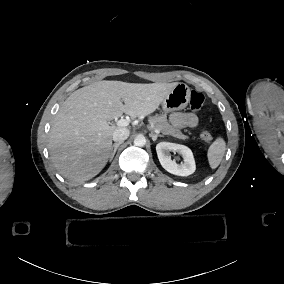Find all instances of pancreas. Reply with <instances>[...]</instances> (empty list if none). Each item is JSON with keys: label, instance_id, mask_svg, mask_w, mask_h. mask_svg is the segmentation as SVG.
Instances as JSON below:
<instances>
[{"label": "pancreas", "instance_id": "pancreas-1", "mask_svg": "<svg viewBox=\"0 0 284 284\" xmlns=\"http://www.w3.org/2000/svg\"><path fill=\"white\" fill-rule=\"evenodd\" d=\"M149 130H159L164 135H172L173 137L179 138V139H187L188 136L182 134L179 130H176L171 126L167 121L166 115L161 116H153L149 118Z\"/></svg>", "mask_w": 284, "mask_h": 284}]
</instances>
